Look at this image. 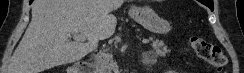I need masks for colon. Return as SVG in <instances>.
<instances>
[{"label": "colon", "mask_w": 244, "mask_h": 73, "mask_svg": "<svg viewBox=\"0 0 244 73\" xmlns=\"http://www.w3.org/2000/svg\"><path fill=\"white\" fill-rule=\"evenodd\" d=\"M189 43L199 58L209 63L219 72H223L227 66V58L219 46L198 36H191Z\"/></svg>", "instance_id": "obj_1"}]
</instances>
